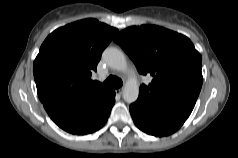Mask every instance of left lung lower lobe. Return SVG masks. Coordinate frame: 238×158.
Wrapping results in <instances>:
<instances>
[{
	"instance_id": "obj_1",
	"label": "left lung lower lobe",
	"mask_w": 238,
	"mask_h": 158,
	"mask_svg": "<svg viewBox=\"0 0 238 158\" xmlns=\"http://www.w3.org/2000/svg\"><path fill=\"white\" fill-rule=\"evenodd\" d=\"M197 98L152 102L139 97L129 107L135 125L153 136H167L178 130L191 114Z\"/></svg>"
}]
</instances>
